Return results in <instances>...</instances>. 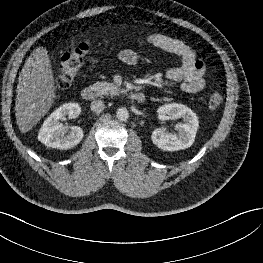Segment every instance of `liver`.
<instances>
[{
    "label": "liver",
    "mask_w": 263,
    "mask_h": 263,
    "mask_svg": "<svg viewBox=\"0 0 263 263\" xmlns=\"http://www.w3.org/2000/svg\"><path fill=\"white\" fill-rule=\"evenodd\" d=\"M55 81L48 51L34 49L26 60L16 88L15 117L21 133L30 131L54 103Z\"/></svg>",
    "instance_id": "6515ba94"
}]
</instances>
